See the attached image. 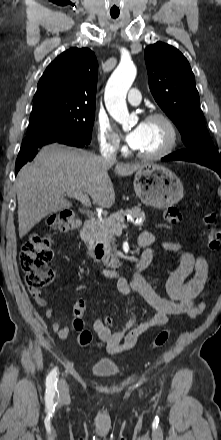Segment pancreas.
<instances>
[{
    "label": "pancreas",
    "mask_w": 221,
    "mask_h": 440,
    "mask_svg": "<svg viewBox=\"0 0 221 440\" xmlns=\"http://www.w3.org/2000/svg\"><path fill=\"white\" fill-rule=\"evenodd\" d=\"M127 215L132 216L133 219L145 218V213L141 210L140 206H135L131 209H121L120 211L113 213L109 217L103 218L102 220H96L95 231L91 236V240L96 241L97 243L104 244L110 257H114L112 251H114L115 248H112V245L115 242V226L118 224H122ZM134 225L142 226L143 221L134 223Z\"/></svg>",
    "instance_id": "pancreas-1"
}]
</instances>
